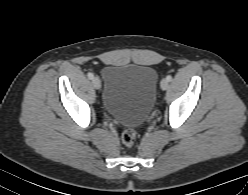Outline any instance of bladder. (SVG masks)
I'll return each mask as SVG.
<instances>
[{"label": "bladder", "mask_w": 248, "mask_h": 195, "mask_svg": "<svg viewBox=\"0 0 248 195\" xmlns=\"http://www.w3.org/2000/svg\"><path fill=\"white\" fill-rule=\"evenodd\" d=\"M102 105L120 123L140 125L151 111L158 76L148 65H108L103 73Z\"/></svg>", "instance_id": "1"}]
</instances>
